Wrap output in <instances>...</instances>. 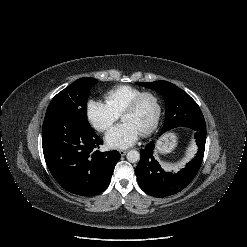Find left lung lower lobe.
Instances as JSON below:
<instances>
[{
	"instance_id": "obj_1",
	"label": "left lung lower lobe",
	"mask_w": 247,
	"mask_h": 247,
	"mask_svg": "<svg viewBox=\"0 0 247 247\" xmlns=\"http://www.w3.org/2000/svg\"><path fill=\"white\" fill-rule=\"evenodd\" d=\"M198 147L196 156L178 173L166 172L153 156L154 143L141 149V158L136 167L140 188L149 195L163 198L182 191L196 176L205 151L206 126L191 130Z\"/></svg>"
}]
</instances>
